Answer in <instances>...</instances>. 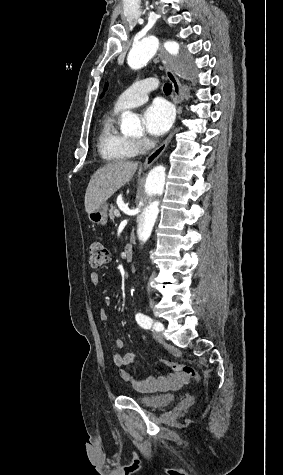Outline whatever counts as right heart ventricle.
Wrapping results in <instances>:
<instances>
[{
  "instance_id": "e07e8e85",
  "label": "right heart ventricle",
  "mask_w": 283,
  "mask_h": 475,
  "mask_svg": "<svg viewBox=\"0 0 283 475\" xmlns=\"http://www.w3.org/2000/svg\"><path fill=\"white\" fill-rule=\"evenodd\" d=\"M121 111L114 107L99 124L98 148L106 161L128 160L134 154L131 140L118 127L117 117Z\"/></svg>"
}]
</instances>
